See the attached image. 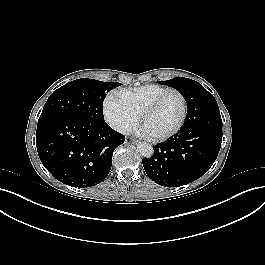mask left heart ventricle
<instances>
[{
  "label": "left heart ventricle",
  "instance_id": "1",
  "mask_svg": "<svg viewBox=\"0 0 265 265\" xmlns=\"http://www.w3.org/2000/svg\"><path fill=\"white\" fill-rule=\"evenodd\" d=\"M182 114V101L175 92L166 94L143 121L151 135H162L171 131L179 122Z\"/></svg>",
  "mask_w": 265,
  "mask_h": 265
}]
</instances>
